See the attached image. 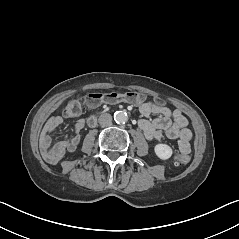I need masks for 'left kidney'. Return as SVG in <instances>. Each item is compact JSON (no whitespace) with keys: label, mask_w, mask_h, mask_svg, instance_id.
Returning <instances> with one entry per match:
<instances>
[{"label":"left kidney","mask_w":239,"mask_h":239,"mask_svg":"<svg viewBox=\"0 0 239 239\" xmlns=\"http://www.w3.org/2000/svg\"><path fill=\"white\" fill-rule=\"evenodd\" d=\"M155 155L163 161L170 159L173 156V149L165 143H158L154 146Z\"/></svg>","instance_id":"5707ae66"}]
</instances>
